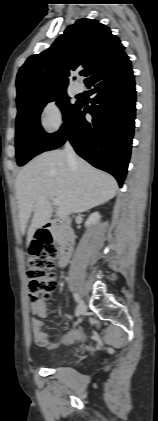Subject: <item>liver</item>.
<instances>
[{
	"instance_id": "liver-1",
	"label": "liver",
	"mask_w": 158,
	"mask_h": 421,
	"mask_svg": "<svg viewBox=\"0 0 158 421\" xmlns=\"http://www.w3.org/2000/svg\"><path fill=\"white\" fill-rule=\"evenodd\" d=\"M117 190L113 176L97 170L85 160L77 157L71 164L64 150L44 152L28 162L16 177L21 231L27 233L29 243L37 228L49 221L52 216L50 196L60 202L57 216L66 218L104 204Z\"/></svg>"
}]
</instances>
